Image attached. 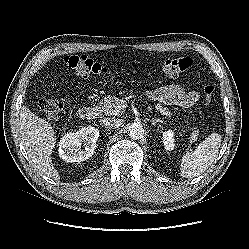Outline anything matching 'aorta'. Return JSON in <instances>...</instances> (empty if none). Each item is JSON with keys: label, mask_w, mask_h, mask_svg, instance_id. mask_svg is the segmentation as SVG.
Segmentation results:
<instances>
[{"label": "aorta", "mask_w": 249, "mask_h": 249, "mask_svg": "<svg viewBox=\"0 0 249 249\" xmlns=\"http://www.w3.org/2000/svg\"><path fill=\"white\" fill-rule=\"evenodd\" d=\"M128 135L133 140H138L144 137V128L140 123H132L128 128Z\"/></svg>", "instance_id": "1"}]
</instances>
